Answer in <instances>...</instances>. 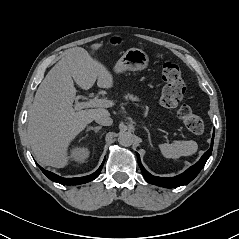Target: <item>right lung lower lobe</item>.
Instances as JSON below:
<instances>
[{
    "label": "right lung lower lobe",
    "instance_id": "1",
    "mask_svg": "<svg viewBox=\"0 0 239 239\" xmlns=\"http://www.w3.org/2000/svg\"><path fill=\"white\" fill-rule=\"evenodd\" d=\"M105 161V160H104ZM104 161L103 163L101 164V166L99 167V169L94 172L93 174L91 175H88V176H84V177H78V178H63V177H60L50 171H47V170H44L42 167H40L39 165V168L42 170V172L52 181L54 182H57V183H60V184H63V185H80V184H83V183H87V182H90L94 179H96L100 172H101V169L104 165Z\"/></svg>",
    "mask_w": 239,
    "mask_h": 239
}]
</instances>
